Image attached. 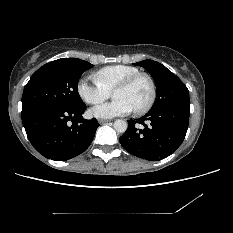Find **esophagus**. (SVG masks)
<instances>
[{
	"instance_id": "1",
	"label": "esophagus",
	"mask_w": 233,
	"mask_h": 233,
	"mask_svg": "<svg viewBox=\"0 0 233 233\" xmlns=\"http://www.w3.org/2000/svg\"><path fill=\"white\" fill-rule=\"evenodd\" d=\"M98 122L100 124H106V123H110L111 121L110 120H106V119H99Z\"/></svg>"
}]
</instances>
